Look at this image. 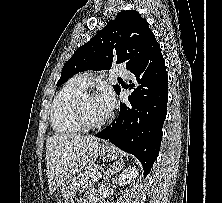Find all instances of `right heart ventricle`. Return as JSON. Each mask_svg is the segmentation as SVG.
<instances>
[{
    "label": "right heart ventricle",
    "mask_w": 222,
    "mask_h": 203,
    "mask_svg": "<svg viewBox=\"0 0 222 203\" xmlns=\"http://www.w3.org/2000/svg\"><path fill=\"white\" fill-rule=\"evenodd\" d=\"M85 91V88L72 79L57 94L51 109V124L55 133L77 135L83 131L76 120L74 107L79 96Z\"/></svg>",
    "instance_id": "obj_1"
}]
</instances>
